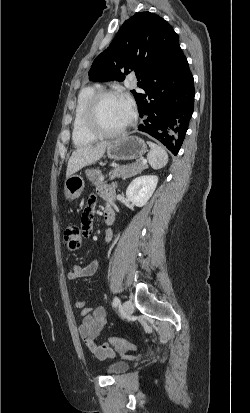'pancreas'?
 Segmentation results:
<instances>
[{
    "label": "pancreas",
    "instance_id": "cf45deb5",
    "mask_svg": "<svg viewBox=\"0 0 250 413\" xmlns=\"http://www.w3.org/2000/svg\"><path fill=\"white\" fill-rule=\"evenodd\" d=\"M146 165L142 163V161H137L134 164H129L126 166H117L115 167L111 172L110 175L115 174V173H120V172H125L124 174L118 175V177H121L123 179L134 176L138 173H140ZM86 176L88 180L95 186H98L103 183V176L102 172L99 168L96 169H88L86 171Z\"/></svg>",
    "mask_w": 250,
    "mask_h": 413
}]
</instances>
